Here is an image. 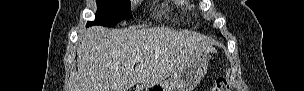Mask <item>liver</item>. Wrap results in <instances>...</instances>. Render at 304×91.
Returning a JSON list of instances; mask_svg holds the SVG:
<instances>
[{"mask_svg":"<svg viewBox=\"0 0 304 91\" xmlns=\"http://www.w3.org/2000/svg\"><path fill=\"white\" fill-rule=\"evenodd\" d=\"M214 52L194 32L169 28L92 27L80 37L78 75L72 91H128L135 84H161L198 52ZM141 57L136 67L134 57Z\"/></svg>","mask_w":304,"mask_h":91,"instance_id":"1","label":"liver"}]
</instances>
